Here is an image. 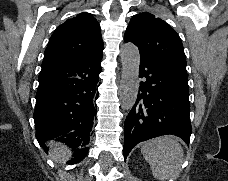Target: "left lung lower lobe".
Segmentation results:
<instances>
[{"instance_id": "obj_1", "label": "left lung lower lobe", "mask_w": 228, "mask_h": 181, "mask_svg": "<svg viewBox=\"0 0 228 181\" xmlns=\"http://www.w3.org/2000/svg\"><path fill=\"white\" fill-rule=\"evenodd\" d=\"M137 100L124 123V158L139 142L172 134L189 145L192 127L186 68L141 55Z\"/></svg>"}]
</instances>
